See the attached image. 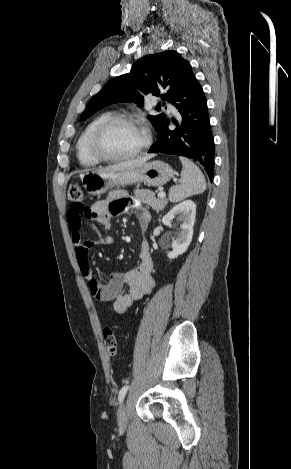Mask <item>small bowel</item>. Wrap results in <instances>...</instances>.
<instances>
[{"mask_svg": "<svg viewBox=\"0 0 291 469\" xmlns=\"http://www.w3.org/2000/svg\"><path fill=\"white\" fill-rule=\"evenodd\" d=\"M88 211V214H84L72 207L67 214V223L72 233L80 273L86 279L91 294L97 300L112 301L114 311L124 314L135 301L151 293L155 287V279L152 275L153 261L148 242L143 240L141 243L137 267L127 272L110 273L106 283H100L93 277L88 254L96 246L113 244V236L107 233L111 228L112 216L135 211L140 229L144 232L149 225L150 214L140 205L132 203L121 190L110 192L106 199L95 202L88 208ZM85 221L100 224L105 233L94 239H84ZM125 286H127V291L124 292Z\"/></svg>", "mask_w": 291, "mask_h": 469, "instance_id": "obj_1", "label": "small bowel"}]
</instances>
